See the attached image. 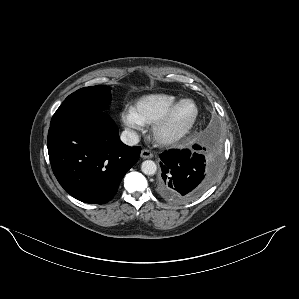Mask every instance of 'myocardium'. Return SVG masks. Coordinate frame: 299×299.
Segmentation results:
<instances>
[{
	"mask_svg": "<svg viewBox=\"0 0 299 299\" xmlns=\"http://www.w3.org/2000/svg\"><path fill=\"white\" fill-rule=\"evenodd\" d=\"M185 102H191L195 107V114L193 119L191 120L189 125L181 131L174 132V133L165 132V128L169 123L173 113L181 104ZM199 113H200L199 107L193 99L183 98L176 101L171 106H169L164 111V113L152 124L151 135L153 140L162 146H170L179 142L181 139H183L192 131L199 118Z\"/></svg>",
	"mask_w": 299,
	"mask_h": 299,
	"instance_id": "f54148a6",
	"label": "myocardium"
}]
</instances>
